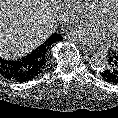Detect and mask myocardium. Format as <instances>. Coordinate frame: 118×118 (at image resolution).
Masks as SVG:
<instances>
[{"label": "myocardium", "mask_w": 118, "mask_h": 118, "mask_svg": "<svg viewBox=\"0 0 118 118\" xmlns=\"http://www.w3.org/2000/svg\"><path fill=\"white\" fill-rule=\"evenodd\" d=\"M116 4H118V0H111L105 7L100 9L99 13H104V14L111 13ZM112 47L118 49V44H113Z\"/></svg>", "instance_id": "1"}]
</instances>
